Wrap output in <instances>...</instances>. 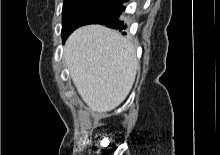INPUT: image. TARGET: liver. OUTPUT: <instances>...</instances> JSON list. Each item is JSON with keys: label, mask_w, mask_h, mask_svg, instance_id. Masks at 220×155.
Returning <instances> with one entry per match:
<instances>
[{"label": "liver", "mask_w": 220, "mask_h": 155, "mask_svg": "<svg viewBox=\"0 0 220 155\" xmlns=\"http://www.w3.org/2000/svg\"><path fill=\"white\" fill-rule=\"evenodd\" d=\"M63 58L79 95L100 114L125 100L139 68L135 46L101 25L75 30L66 41Z\"/></svg>", "instance_id": "1"}]
</instances>
